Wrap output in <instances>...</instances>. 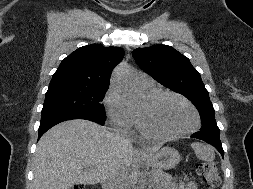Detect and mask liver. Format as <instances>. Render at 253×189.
Wrapping results in <instances>:
<instances>
[{"mask_svg": "<svg viewBox=\"0 0 253 189\" xmlns=\"http://www.w3.org/2000/svg\"><path fill=\"white\" fill-rule=\"evenodd\" d=\"M158 150L159 147L149 149L150 153ZM134 160L133 147L125 146L106 127L82 119L62 122L47 131L37 144L34 189L103 183L113 170L127 169Z\"/></svg>", "mask_w": 253, "mask_h": 189, "instance_id": "obj_1", "label": "liver"}]
</instances>
